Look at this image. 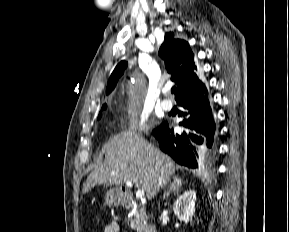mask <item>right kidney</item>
I'll return each instance as SVG.
<instances>
[{
    "instance_id": "obj_1",
    "label": "right kidney",
    "mask_w": 289,
    "mask_h": 232,
    "mask_svg": "<svg viewBox=\"0 0 289 232\" xmlns=\"http://www.w3.org/2000/svg\"><path fill=\"white\" fill-rule=\"evenodd\" d=\"M196 192L194 190L185 191L174 202L173 211L180 221L186 224L192 221L195 213Z\"/></svg>"
}]
</instances>
